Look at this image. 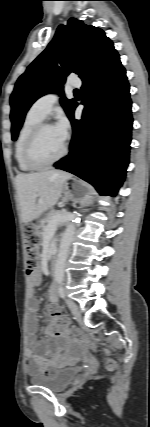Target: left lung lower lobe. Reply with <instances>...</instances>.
<instances>
[{
	"label": "left lung lower lobe",
	"instance_id": "obj_1",
	"mask_svg": "<svg viewBox=\"0 0 150 427\" xmlns=\"http://www.w3.org/2000/svg\"><path fill=\"white\" fill-rule=\"evenodd\" d=\"M81 120L69 119L73 137L68 156L54 164L92 184L101 195L114 196L129 163L132 115L126 71L115 49L83 80Z\"/></svg>",
	"mask_w": 150,
	"mask_h": 427
}]
</instances>
